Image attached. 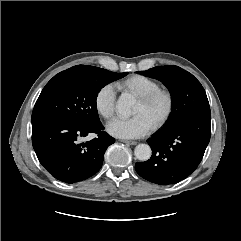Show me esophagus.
<instances>
[{
  "label": "esophagus",
  "instance_id": "esophagus-1",
  "mask_svg": "<svg viewBox=\"0 0 241 241\" xmlns=\"http://www.w3.org/2000/svg\"><path fill=\"white\" fill-rule=\"evenodd\" d=\"M123 143L129 144V145H136L137 141H131V140H122Z\"/></svg>",
  "mask_w": 241,
  "mask_h": 241
}]
</instances>
